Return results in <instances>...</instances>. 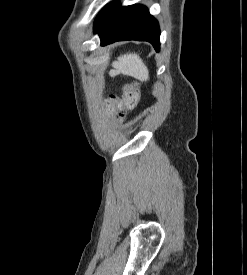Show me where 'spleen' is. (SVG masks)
<instances>
[{"instance_id": "spleen-1", "label": "spleen", "mask_w": 247, "mask_h": 275, "mask_svg": "<svg viewBox=\"0 0 247 275\" xmlns=\"http://www.w3.org/2000/svg\"><path fill=\"white\" fill-rule=\"evenodd\" d=\"M113 70L111 75H123L134 77L140 81H147L149 79V71L145 63L136 53H127L118 57L117 61L112 63Z\"/></svg>"}]
</instances>
